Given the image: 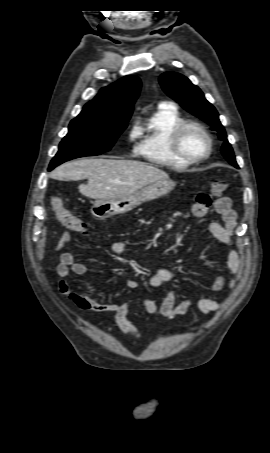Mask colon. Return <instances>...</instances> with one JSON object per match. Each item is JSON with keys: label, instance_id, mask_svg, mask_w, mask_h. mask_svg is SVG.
<instances>
[{"label": "colon", "instance_id": "colon-1", "mask_svg": "<svg viewBox=\"0 0 270 453\" xmlns=\"http://www.w3.org/2000/svg\"><path fill=\"white\" fill-rule=\"evenodd\" d=\"M229 188V184L224 181H214L211 185V193L215 196L224 194ZM198 200L209 204V196L201 194L198 196ZM51 208L54 212L57 220L64 225L67 229L73 232L83 233L86 231L84 220L78 215L74 214L69 210L64 201L59 197L51 198Z\"/></svg>", "mask_w": 270, "mask_h": 453}]
</instances>
